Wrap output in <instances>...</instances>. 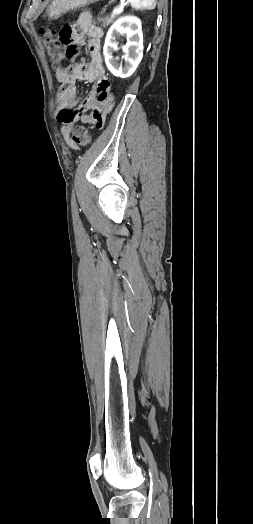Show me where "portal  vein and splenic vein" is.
<instances>
[{"instance_id": "18ae733b", "label": "portal vein and splenic vein", "mask_w": 253, "mask_h": 524, "mask_svg": "<svg viewBox=\"0 0 253 524\" xmlns=\"http://www.w3.org/2000/svg\"><path fill=\"white\" fill-rule=\"evenodd\" d=\"M129 0H127L126 2L123 1L121 2V4L119 6H116L114 9H113V12H112V15H117V14H120L121 11L123 10L124 6L128 3Z\"/></svg>"}]
</instances>
